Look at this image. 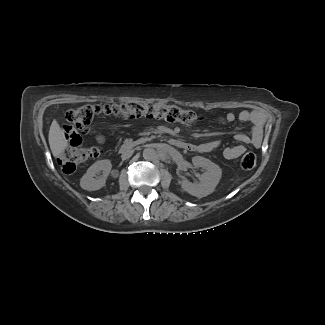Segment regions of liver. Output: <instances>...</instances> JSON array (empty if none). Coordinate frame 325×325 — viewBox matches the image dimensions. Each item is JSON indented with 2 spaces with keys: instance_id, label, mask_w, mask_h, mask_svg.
<instances>
[{
  "instance_id": "liver-1",
  "label": "liver",
  "mask_w": 325,
  "mask_h": 325,
  "mask_svg": "<svg viewBox=\"0 0 325 325\" xmlns=\"http://www.w3.org/2000/svg\"><path fill=\"white\" fill-rule=\"evenodd\" d=\"M48 140L53 156L58 158L67 147L68 142L65 138L63 130L56 120H53L50 126Z\"/></svg>"
}]
</instances>
